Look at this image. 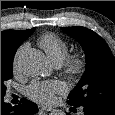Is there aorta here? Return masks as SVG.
Masks as SVG:
<instances>
[{
    "mask_svg": "<svg viewBox=\"0 0 115 115\" xmlns=\"http://www.w3.org/2000/svg\"><path fill=\"white\" fill-rule=\"evenodd\" d=\"M18 63L21 70L30 76H41L47 72V60L39 50L30 49L22 52L19 55ZM49 115H66V113L59 109H54Z\"/></svg>",
    "mask_w": 115,
    "mask_h": 115,
    "instance_id": "obj_1",
    "label": "aorta"
}]
</instances>
